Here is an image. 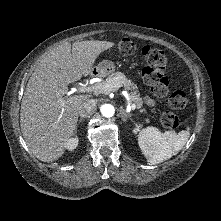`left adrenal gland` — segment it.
Masks as SVG:
<instances>
[{
    "instance_id": "obj_1",
    "label": "left adrenal gland",
    "mask_w": 221,
    "mask_h": 221,
    "mask_svg": "<svg viewBox=\"0 0 221 221\" xmlns=\"http://www.w3.org/2000/svg\"><path fill=\"white\" fill-rule=\"evenodd\" d=\"M120 117L124 122H126L128 118L132 117V114L127 113L122 107H120Z\"/></svg>"
}]
</instances>
